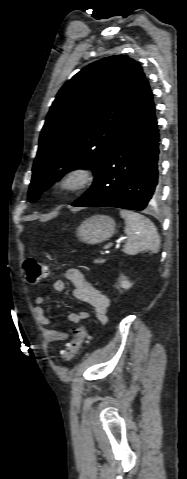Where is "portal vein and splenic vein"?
Segmentation results:
<instances>
[{"label": "portal vein and splenic vein", "instance_id": "portal-vein-and-splenic-vein-1", "mask_svg": "<svg viewBox=\"0 0 187 479\" xmlns=\"http://www.w3.org/2000/svg\"><path fill=\"white\" fill-rule=\"evenodd\" d=\"M112 246H113V243H109L108 245H106V246L104 247L105 250H104L103 254L108 253V252H109V248H111Z\"/></svg>", "mask_w": 187, "mask_h": 479}]
</instances>
